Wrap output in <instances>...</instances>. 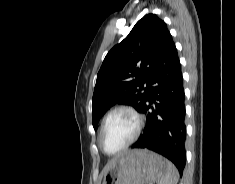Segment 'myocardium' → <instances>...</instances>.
Segmentation results:
<instances>
[{
	"label": "myocardium",
	"mask_w": 235,
	"mask_h": 184,
	"mask_svg": "<svg viewBox=\"0 0 235 184\" xmlns=\"http://www.w3.org/2000/svg\"><path fill=\"white\" fill-rule=\"evenodd\" d=\"M120 111H126V112H129L131 115H133V117L136 120V129H135L134 135L131 137V139L121 149H119L118 151H116L114 153H109L104 149V147L102 145V135H103V132H104L105 128L107 127L111 117L115 113L120 112ZM143 124H144L143 116L135 107H133L131 105H128V104H120V105H117V106L113 107L106 114V116L104 117L103 122L101 124L99 134H98V139H97L99 148L107 156H118V155H120L125 150H127L131 145H133L136 142V140L139 138V136L142 132V129H143Z\"/></svg>",
	"instance_id": "myocardium-1"
}]
</instances>
